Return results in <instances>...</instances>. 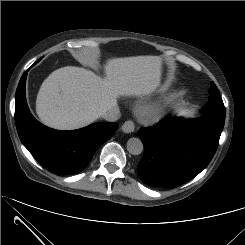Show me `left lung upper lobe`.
Masks as SVG:
<instances>
[{"mask_svg": "<svg viewBox=\"0 0 245 245\" xmlns=\"http://www.w3.org/2000/svg\"><path fill=\"white\" fill-rule=\"evenodd\" d=\"M209 92H210L209 101L201 109V113L225 120V106L214 83H212Z\"/></svg>", "mask_w": 245, "mask_h": 245, "instance_id": "left-lung-upper-lobe-1", "label": "left lung upper lobe"}]
</instances>
